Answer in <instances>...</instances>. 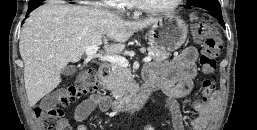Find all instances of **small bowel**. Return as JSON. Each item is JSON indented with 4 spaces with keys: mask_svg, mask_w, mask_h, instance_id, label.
I'll return each mask as SVG.
<instances>
[{
    "mask_svg": "<svg viewBox=\"0 0 257 130\" xmlns=\"http://www.w3.org/2000/svg\"><path fill=\"white\" fill-rule=\"evenodd\" d=\"M196 58V49L188 47L172 60L152 64L144 71L145 79L157 82L158 87L168 96L164 102V109L171 118L173 130H184L183 119L175 99L185 97L192 91L193 80L197 76ZM55 102L56 97L53 95L45 100L47 105H53ZM109 104V97L103 94H92L83 100L74 111V120L78 123L76 130H87L82 122L96 109L105 111ZM194 109L196 114L191 120V128L204 130L213 107L211 104L196 102ZM144 130H154V126L151 122H147Z\"/></svg>",
    "mask_w": 257,
    "mask_h": 130,
    "instance_id": "1",
    "label": "small bowel"
}]
</instances>
